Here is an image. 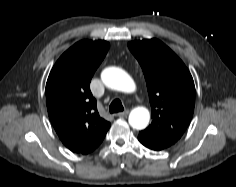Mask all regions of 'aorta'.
Listing matches in <instances>:
<instances>
[{
  "label": "aorta",
  "mask_w": 236,
  "mask_h": 187,
  "mask_svg": "<svg viewBox=\"0 0 236 187\" xmlns=\"http://www.w3.org/2000/svg\"><path fill=\"white\" fill-rule=\"evenodd\" d=\"M102 82L116 91L132 93L136 90L133 79L124 70L118 67H108L101 73ZM150 120L149 111L144 107L134 108L129 115V124L137 130L147 127Z\"/></svg>",
  "instance_id": "aorta-1"
}]
</instances>
